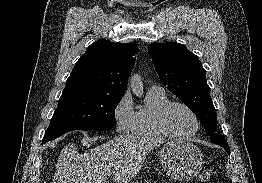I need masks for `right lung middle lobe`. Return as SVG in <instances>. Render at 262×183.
<instances>
[{"label": "right lung middle lobe", "instance_id": "dd1d6c3e", "mask_svg": "<svg viewBox=\"0 0 262 183\" xmlns=\"http://www.w3.org/2000/svg\"><path fill=\"white\" fill-rule=\"evenodd\" d=\"M121 98L92 92L63 93L43 140H53L72 130L112 128Z\"/></svg>", "mask_w": 262, "mask_h": 183}]
</instances>
